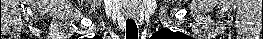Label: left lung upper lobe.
Segmentation results:
<instances>
[{
  "instance_id": "obj_1",
  "label": "left lung upper lobe",
  "mask_w": 263,
  "mask_h": 39,
  "mask_svg": "<svg viewBox=\"0 0 263 39\" xmlns=\"http://www.w3.org/2000/svg\"><path fill=\"white\" fill-rule=\"evenodd\" d=\"M152 38L154 39H187L188 37L180 32H172L169 29H161L154 33Z\"/></svg>"
}]
</instances>
